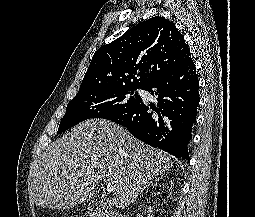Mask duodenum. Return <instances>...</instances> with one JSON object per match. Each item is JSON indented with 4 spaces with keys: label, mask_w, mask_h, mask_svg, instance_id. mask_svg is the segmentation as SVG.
<instances>
[{
    "label": "duodenum",
    "mask_w": 255,
    "mask_h": 217,
    "mask_svg": "<svg viewBox=\"0 0 255 217\" xmlns=\"http://www.w3.org/2000/svg\"><path fill=\"white\" fill-rule=\"evenodd\" d=\"M91 217H123L118 211H98L94 210L90 212Z\"/></svg>",
    "instance_id": "410a0bca"
}]
</instances>
